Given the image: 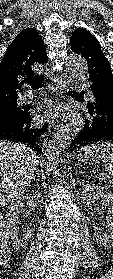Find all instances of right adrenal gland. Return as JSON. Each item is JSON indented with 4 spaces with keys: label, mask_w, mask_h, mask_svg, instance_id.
Segmentation results:
<instances>
[{
    "label": "right adrenal gland",
    "mask_w": 113,
    "mask_h": 279,
    "mask_svg": "<svg viewBox=\"0 0 113 279\" xmlns=\"http://www.w3.org/2000/svg\"><path fill=\"white\" fill-rule=\"evenodd\" d=\"M36 175L33 176V179H35Z\"/></svg>",
    "instance_id": "1"
}]
</instances>
